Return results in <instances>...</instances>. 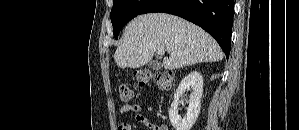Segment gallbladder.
Here are the masks:
<instances>
[{
	"mask_svg": "<svg viewBox=\"0 0 299 130\" xmlns=\"http://www.w3.org/2000/svg\"><path fill=\"white\" fill-rule=\"evenodd\" d=\"M149 65L153 70H159L162 67L161 63L158 61H152Z\"/></svg>",
	"mask_w": 299,
	"mask_h": 130,
	"instance_id": "1",
	"label": "gallbladder"
}]
</instances>
